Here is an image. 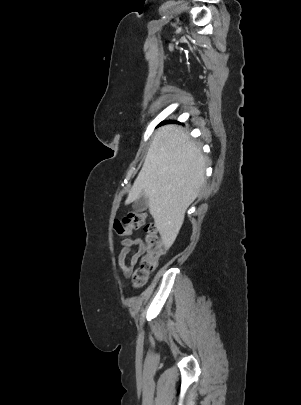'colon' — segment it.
<instances>
[{
	"label": "colon",
	"instance_id": "1",
	"mask_svg": "<svg viewBox=\"0 0 301 405\" xmlns=\"http://www.w3.org/2000/svg\"><path fill=\"white\" fill-rule=\"evenodd\" d=\"M145 221L144 212L132 210L122 220H116L113 225L114 231L119 236H128L144 226L145 235L139 266L133 274V282L136 286H142L147 281L149 275L157 269L160 258L165 252L156 226L145 225Z\"/></svg>",
	"mask_w": 301,
	"mask_h": 405
}]
</instances>
